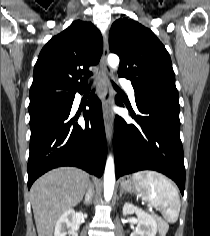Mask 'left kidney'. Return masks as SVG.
I'll return each instance as SVG.
<instances>
[{
    "instance_id": "left-kidney-1",
    "label": "left kidney",
    "mask_w": 210,
    "mask_h": 236,
    "mask_svg": "<svg viewBox=\"0 0 210 236\" xmlns=\"http://www.w3.org/2000/svg\"><path fill=\"white\" fill-rule=\"evenodd\" d=\"M134 213L137 215L138 224L136 230L130 236H156L157 218L130 203H125L123 206V215Z\"/></svg>"
}]
</instances>
